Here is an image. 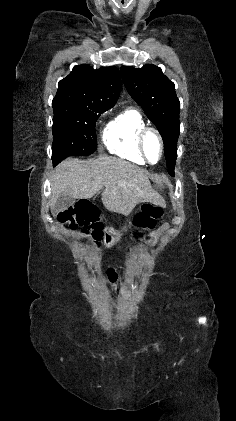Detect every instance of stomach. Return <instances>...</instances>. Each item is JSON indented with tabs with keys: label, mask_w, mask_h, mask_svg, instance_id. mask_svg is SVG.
Instances as JSON below:
<instances>
[{
	"label": "stomach",
	"mask_w": 236,
	"mask_h": 421,
	"mask_svg": "<svg viewBox=\"0 0 236 421\" xmlns=\"http://www.w3.org/2000/svg\"><path fill=\"white\" fill-rule=\"evenodd\" d=\"M124 231H126V227H124ZM121 239V233H118V231H114V229H109V231H106L105 237H104V245L105 247H113L117 241H120Z\"/></svg>",
	"instance_id": "1"
}]
</instances>
